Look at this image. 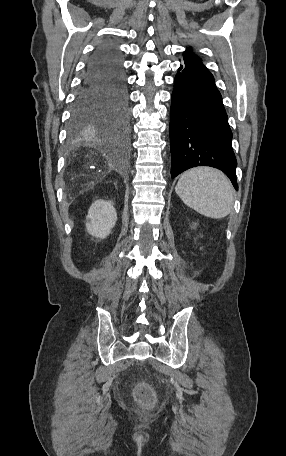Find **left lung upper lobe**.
Wrapping results in <instances>:
<instances>
[{
	"instance_id": "obj_1",
	"label": "left lung upper lobe",
	"mask_w": 286,
	"mask_h": 456,
	"mask_svg": "<svg viewBox=\"0 0 286 456\" xmlns=\"http://www.w3.org/2000/svg\"><path fill=\"white\" fill-rule=\"evenodd\" d=\"M184 60H198V61H200V59L192 51H190L189 49H187L184 52Z\"/></svg>"
}]
</instances>
